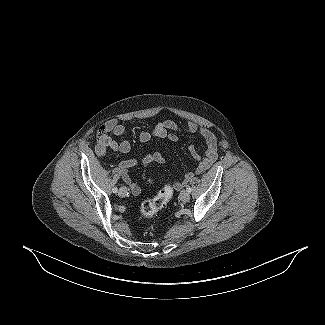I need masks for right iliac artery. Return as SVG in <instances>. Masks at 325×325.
I'll return each mask as SVG.
<instances>
[{
    "mask_svg": "<svg viewBox=\"0 0 325 325\" xmlns=\"http://www.w3.org/2000/svg\"><path fill=\"white\" fill-rule=\"evenodd\" d=\"M112 191H113V193H117V192H118L117 187H114V188L112 189Z\"/></svg>",
    "mask_w": 325,
    "mask_h": 325,
    "instance_id": "82829eb1",
    "label": "right iliac artery"
}]
</instances>
